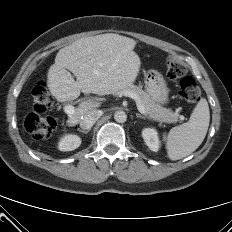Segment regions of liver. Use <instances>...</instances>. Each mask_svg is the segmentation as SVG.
Instances as JSON below:
<instances>
[{
    "label": "liver",
    "mask_w": 232,
    "mask_h": 232,
    "mask_svg": "<svg viewBox=\"0 0 232 232\" xmlns=\"http://www.w3.org/2000/svg\"><path fill=\"white\" fill-rule=\"evenodd\" d=\"M135 45L134 39L113 33L76 40L59 50L49 68V91L57 101L65 102L78 98L81 92L108 95L122 90L135 81L139 72L141 62L133 51ZM98 107L100 103L92 99L81 102L68 115L67 124H78L85 113Z\"/></svg>",
    "instance_id": "liver-1"
}]
</instances>
